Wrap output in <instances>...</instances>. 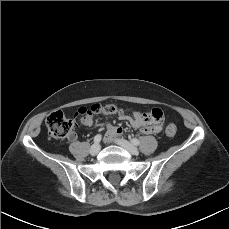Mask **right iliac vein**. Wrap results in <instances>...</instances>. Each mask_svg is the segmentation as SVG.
Masks as SVG:
<instances>
[{"label": "right iliac vein", "mask_w": 229, "mask_h": 229, "mask_svg": "<svg viewBox=\"0 0 229 229\" xmlns=\"http://www.w3.org/2000/svg\"><path fill=\"white\" fill-rule=\"evenodd\" d=\"M100 151V145L99 144H93L92 147L90 148V154L95 156L99 153Z\"/></svg>", "instance_id": "obj_1"}]
</instances>
